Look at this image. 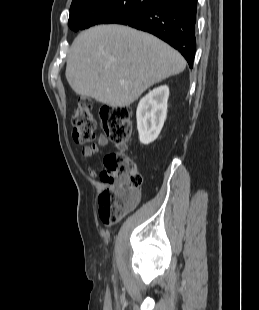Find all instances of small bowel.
<instances>
[{"label":"small bowel","instance_id":"small-bowel-1","mask_svg":"<svg viewBox=\"0 0 259 310\" xmlns=\"http://www.w3.org/2000/svg\"><path fill=\"white\" fill-rule=\"evenodd\" d=\"M108 144H109V140L106 137L99 136L97 143L93 144V145L85 146L82 149L81 154H82L83 158L90 160L95 154H97L99 152V149L101 147H105ZM87 172L91 178H95L97 176V171L92 165L88 166Z\"/></svg>","mask_w":259,"mask_h":310}]
</instances>
